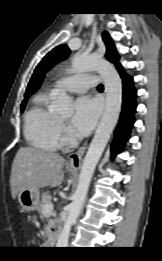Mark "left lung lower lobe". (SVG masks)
Masks as SVG:
<instances>
[{
	"mask_svg": "<svg viewBox=\"0 0 162 261\" xmlns=\"http://www.w3.org/2000/svg\"><path fill=\"white\" fill-rule=\"evenodd\" d=\"M123 79L122 112L118 126L114 133V140L111 145L112 157L120 153L129 138L130 130L135 122L134 113L136 111L137 92L133 87V79L129 75H124L122 67L118 69Z\"/></svg>",
	"mask_w": 162,
	"mask_h": 261,
	"instance_id": "0a47b994",
	"label": "left lung lower lobe"
}]
</instances>
